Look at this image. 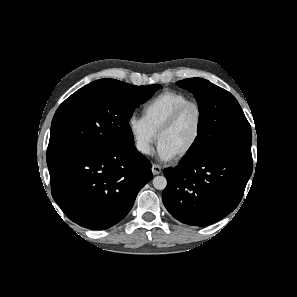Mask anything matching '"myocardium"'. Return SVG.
<instances>
[{"label": "myocardium", "mask_w": 297, "mask_h": 297, "mask_svg": "<svg viewBox=\"0 0 297 297\" xmlns=\"http://www.w3.org/2000/svg\"><path fill=\"white\" fill-rule=\"evenodd\" d=\"M190 108L195 109V111L197 112V116H198L197 130L191 143L182 152L176 155V157L179 159L188 156L196 148V146L198 145L202 137L204 124H205V115L201 106L195 101H189L187 103H184L171 114V116L162 124V126L159 128L156 134L157 140L159 141L162 134L167 132L171 128H173L181 119L183 114Z\"/></svg>", "instance_id": "1"}]
</instances>
